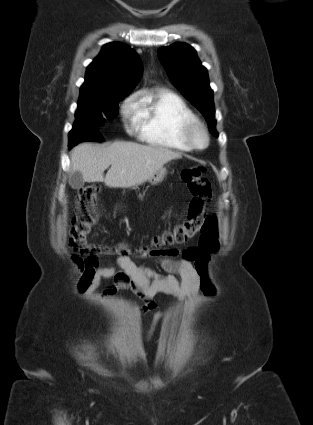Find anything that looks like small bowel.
Returning <instances> with one entry per match:
<instances>
[{
	"label": "small bowel",
	"mask_w": 313,
	"mask_h": 425,
	"mask_svg": "<svg viewBox=\"0 0 313 425\" xmlns=\"http://www.w3.org/2000/svg\"><path fill=\"white\" fill-rule=\"evenodd\" d=\"M118 249L125 250L127 244L119 243ZM178 250H167L160 253L143 252L141 258L159 256L160 267L166 274H160L151 268L136 264L130 255H122L117 259L120 271L113 267H94L87 270L82 282V289L87 293H93L103 279H113L111 286L102 292V296H112L121 290L132 291L142 302L140 313H147L157 309L155 296L165 294L177 298H187L199 292L200 277L192 262L182 258L173 260L171 257L177 256ZM162 313L156 312L153 315L151 326L148 332V339L152 338L158 324L162 321Z\"/></svg>",
	"instance_id": "small-bowel-1"
}]
</instances>
